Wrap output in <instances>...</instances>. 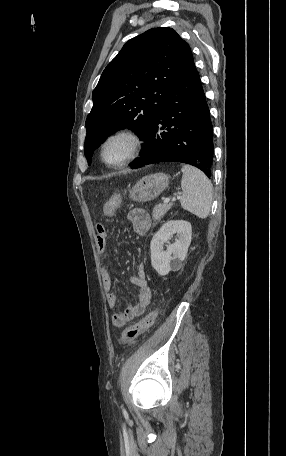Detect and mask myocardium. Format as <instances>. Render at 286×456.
I'll use <instances>...</instances> for the list:
<instances>
[{
	"instance_id": "myocardium-1",
	"label": "myocardium",
	"mask_w": 286,
	"mask_h": 456,
	"mask_svg": "<svg viewBox=\"0 0 286 456\" xmlns=\"http://www.w3.org/2000/svg\"><path fill=\"white\" fill-rule=\"evenodd\" d=\"M119 136H128L133 140V142H134L133 151H132L131 155L128 158H126L124 161H122L120 163H115V164L109 163L104 158V152H105L106 146L110 140H112L113 138L119 137ZM144 146H145V139L140 131H138L137 129L132 128V127L121 128V129H118V130L114 131L113 133H111L104 140V142L101 146L100 157H101L102 162L106 166H108L110 168H121L123 166L128 165L134 159H136L142 152Z\"/></svg>"
}]
</instances>
